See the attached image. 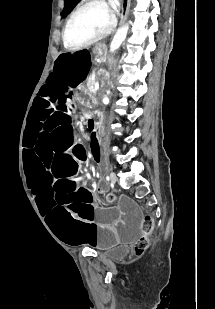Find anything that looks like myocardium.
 Masks as SVG:
<instances>
[{
  "instance_id": "obj_1",
  "label": "myocardium",
  "mask_w": 215,
  "mask_h": 309,
  "mask_svg": "<svg viewBox=\"0 0 215 309\" xmlns=\"http://www.w3.org/2000/svg\"><path fill=\"white\" fill-rule=\"evenodd\" d=\"M92 7H99L103 10L107 9V6L104 4H87L81 7H78L75 11L72 12V14L69 16L67 19L63 30H62V40L63 44L66 48H89L91 47L94 43L98 41L99 38H107L108 34H113L115 25H116V20L115 19H110L108 23L104 24V27H94V30L91 33L92 38L91 39H86V43L78 45V42H75L76 46H73V42H70V36L67 35L69 27L71 23L73 22L74 18L81 13L82 11L92 8ZM111 18V17H110ZM113 18V17H112ZM69 40V42H68ZM80 44V43H79Z\"/></svg>"
}]
</instances>
